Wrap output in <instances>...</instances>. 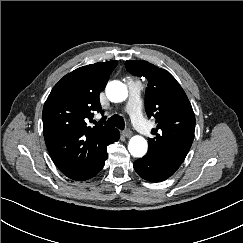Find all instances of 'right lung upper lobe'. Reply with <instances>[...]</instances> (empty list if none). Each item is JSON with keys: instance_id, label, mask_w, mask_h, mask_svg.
<instances>
[{"instance_id": "right-lung-upper-lobe-1", "label": "right lung upper lobe", "mask_w": 243, "mask_h": 243, "mask_svg": "<svg viewBox=\"0 0 243 243\" xmlns=\"http://www.w3.org/2000/svg\"><path fill=\"white\" fill-rule=\"evenodd\" d=\"M117 61L90 64L65 75L52 89L43 107L44 139L60 170L88 167L105 149L117 129L90 127L94 111L101 112L99 93Z\"/></svg>"}]
</instances>
